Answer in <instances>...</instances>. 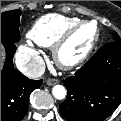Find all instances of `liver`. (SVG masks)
<instances>
[{
	"mask_svg": "<svg viewBox=\"0 0 121 121\" xmlns=\"http://www.w3.org/2000/svg\"><path fill=\"white\" fill-rule=\"evenodd\" d=\"M3 57H4V49L1 45V67H2V63H3Z\"/></svg>",
	"mask_w": 121,
	"mask_h": 121,
	"instance_id": "liver-1",
	"label": "liver"
}]
</instances>
